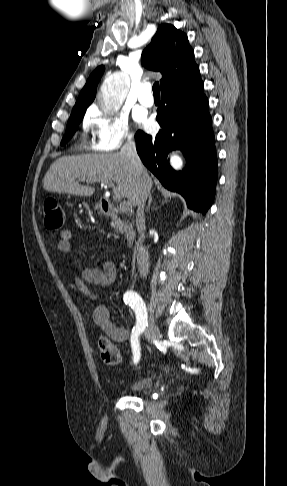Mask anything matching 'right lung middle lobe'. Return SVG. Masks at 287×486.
Listing matches in <instances>:
<instances>
[{
    "instance_id": "right-lung-middle-lobe-1",
    "label": "right lung middle lobe",
    "mask_w": 287,
    "mask_h": 486,
    "mask_svg": "<svg viewBox=\"0 0 287 486\" xmlns=\"http://www.w3.org/2000/svg\"><path fill=\"white\" fill-rule=\"evenodd\" d=\"M85 112L78 113V114H72L68 120L67 123V128H66V133L65 136L61 142L62 145H64L73 135V133L76 131L80 121L83 119Z\"/></svg>"
}]
</instances>
